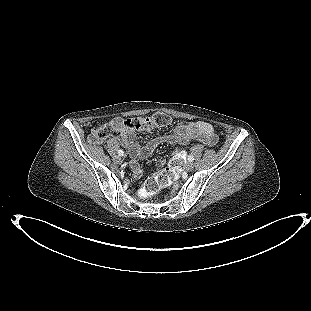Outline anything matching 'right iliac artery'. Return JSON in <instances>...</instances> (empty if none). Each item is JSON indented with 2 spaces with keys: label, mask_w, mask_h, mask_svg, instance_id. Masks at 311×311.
<instances>
[{
  "label": "right iliac artery",
  "mask_w": 311,
  "mask_h": 311,
  "mask_svg": "<svg viewBox=\"0 0 311 311\" xmlns=\"http://www.w3.org/2000/svg\"><path fill=\"white\" fill-rule=\"evenodd\" d=\"M118 154H119L120 156H123V155H124L123 150H118Z\"/></svg>",
  "instance_id": "obj_1"
}]
</instances>
